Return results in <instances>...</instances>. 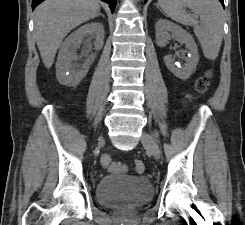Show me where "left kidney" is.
Instances as JSON below:
<instances>
[{"instance_id": "1", "label": "left kidney", "mask_w": 245, "mask_h": 225, "mask_svg": "<svg viewBox=\"0 0 245 225\" xmlns=\"http://www.w3.org/2000/svg\"><path fill=\"white\" fill-rule=\"evenodd\" d=\"M155 30L156 43L160 47L166 46L171 36L179 43L185 44L188 55L184 57L186 62L185 66H178L171 55L164 57V63L176 77L183 80L188 79L195 71L199 61L198 48L193 37L179 25L165 19H159L157 21Z\"/></svg>"}]
</instances>
